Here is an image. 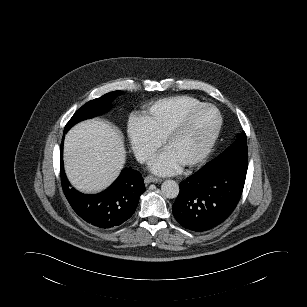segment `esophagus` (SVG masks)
I'll return each instance as SVG.
<instances>
[{
	"label": "esophagus",
	"mask_w": 307,
	"mask_h": 307,
	"mask_svg": "<svg viewBox=\"0 0 307 307\" xmlns=\"http://www.w3.org/2000/svg\"><path fill=\"white\" fill-rule=\"evenodd\" d=\"M144 181H145L146 184H149V183L162 182V179L148 175L147 177H145Z\"/></svg>",
	"instance_id": "obj_1"
}]
</instances>
